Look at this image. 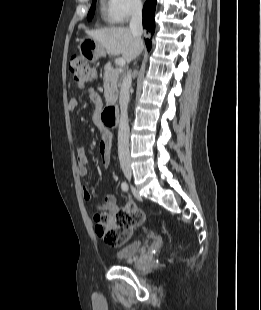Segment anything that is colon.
I'll return each instance as SVG.
<instances>
[{
    "mask_svg": "<svg viewBox=\"0 0 261 310\" xmlns=\"http://www.w3.org/2000/svg\"><path fill=\"white\" fill-rule=\"evenodd\" d=\"M69 68L76 88H85L95 80V70L82 57H73ZM143 213V208H138L135 200H128L124 209L117 213L95 215L96 233L106 244L121 246L129 239L134 227H142Z\"/></svg>",
    "mask_w": 261,
    "mask_h": 310,
    "instance_id": "1",
    "label": "colon"
}]
</instances>
